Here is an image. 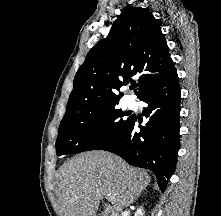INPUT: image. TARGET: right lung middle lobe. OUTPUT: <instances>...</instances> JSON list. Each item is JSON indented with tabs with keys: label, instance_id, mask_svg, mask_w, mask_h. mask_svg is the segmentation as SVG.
Masks as SVG:
<instances>
[{
	"label": "right lung middle lobe",
	"instance_id": "dd1d6c3e",
	"mask_svg": "<svg viewBox=\"0 0 221 216\" xmlns=\"http://www.w3.org/2000/svg\"><path fill=\"white\" fill-rule=\"evenodd\" d=\"M116 105L89 110L74 118L62 119L56 140L58 156L101 150L111 144L131 120Z\"/></svg>",
	"mask_w": 221,
	"mask_h": 216
}]
</instances>
